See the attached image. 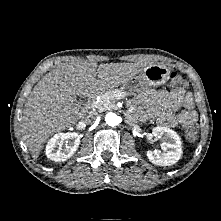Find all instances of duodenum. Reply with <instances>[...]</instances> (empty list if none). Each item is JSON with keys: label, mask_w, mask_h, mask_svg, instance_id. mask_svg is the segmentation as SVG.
Masks as SVG:
<instances>
[{"label": "duodenum", "mask_w": 221, "mask_h": 221, "mask_svg": "<svg viewBox=\"0 0 221 221\" xmlns=\"http://www.w3.org/2000/svg\"><path fill=\"white\" fill-rule=\"evenodd\" d=\"M95 98H96V94L93 93V94L89 95V97H88V101L92 102V101L95 100Z\"/></svg>", "instance_id": "obj_1"}]
</instances>
